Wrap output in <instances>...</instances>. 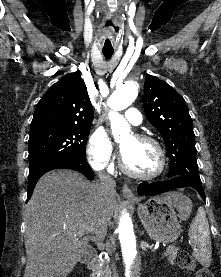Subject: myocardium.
<instances>
[{
  "instance_id": "obj_1",
  "label": "myocardium",
  "mask_w": 221,
  "mask_h": 277,
  "mask_svg": "<svg viewBox=\"0 0 221 277\" xmlns=\"http://www.w3.org/2000/svg\"><path fill=\"white\" fill-rule=\"evenodd\" d=\"M134 138L141 142H149L156 147L158 154H159V159H160L159 166H158L157 170L152 174L143 175V174L136 173L127 166V164L125 163V160L123 158L122 152H121L119 165H120L122 172L131 178L143 180V181H150V180L158 178L163 173L165 166H166V153H165L163 146L156 138L149 136V135L135 134Z\"/></svg>"
}]
</instances>
